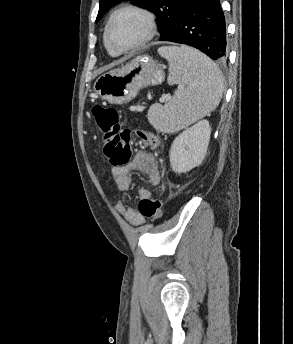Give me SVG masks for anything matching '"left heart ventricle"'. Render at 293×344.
<instances>
[{
  "mask_svg": "<svg viewBox=\"0 0 293 344\" xmlns=\"http://www.w3.org/2000/svg\"><path fill=\"white\" fill-rule=\"evenodd\" d=\"M144 34V22L140 16L132 12L118 15L109 31V37L115 48L121 49L138 42Z\"/></svg>",
  "mask_w": 293,
  "mask_h": 344,
  "instance_id": "obj_1",
  "label": "left heart ventricle"
}]
</instances>
